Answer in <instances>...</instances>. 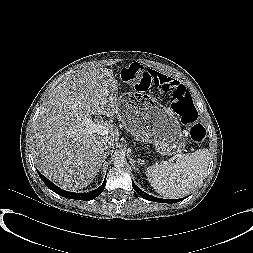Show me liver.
Here are the masks:
<instances>
[{
    "label": "liver",
    "mask_w": 253,
    "mask_h": 253,
    "mask_svg": "<svg viewBox=\"0 0 253 253\" xmlns=\"http://www.w3.org/2000/svg\"><path fill=\"white\" fill-rule=\"evenodd\" d=\"M118 82L107 68L81 69L50 93L33 124L32 155L37 168L62 189L90 185L106 145L117 137L85 133L91 115L117 116Z\"/></svg>",
    "instance_id": "6515ba94"
}]
</instances>
